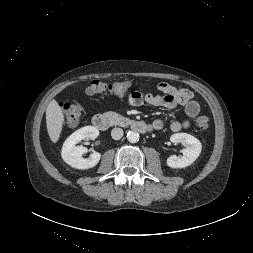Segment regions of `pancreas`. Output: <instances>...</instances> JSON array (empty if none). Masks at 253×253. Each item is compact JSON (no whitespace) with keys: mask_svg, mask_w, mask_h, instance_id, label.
I'll list each match as a JSON object with an SVG mask.
<instances>
[{"mask_svg":"<svg viewBox=\"0 0 253 253\" xmlns=\"http://www.w3.org/2000/svg\"><path fill=\"white\" fill-rule=\"evenodd\" d=\"M105 116L108 118L112 125H124L128 121V118L120 115L119 113L108 111L105 113Z\"/></svg>","mask_w":253,"mask_h":253,"instance_id":"obj_1","label":"pancreas"}]
</instances>
